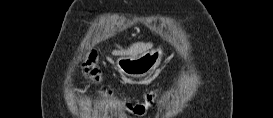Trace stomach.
Returning a JSON list of instances; mask_svg holds the SVG:
<instances>
[{
	"label": "stomach",
	"instance_id": "stomach-1",
	"mask_svg": "<svg viewBox=\"0 0 273 118\" xmlns=\"http://www.w3.org/2000/svg\"><path fill=\"white\" fill-rule=\"evenodd\" d=\"M161 48L147 51L138 56H121L116 60L118 69L128 77L144 78L156 70L163 59Z\"/></svg>",
	"mask_w": 273,
	"mask_h": 118
}]
</instances>
